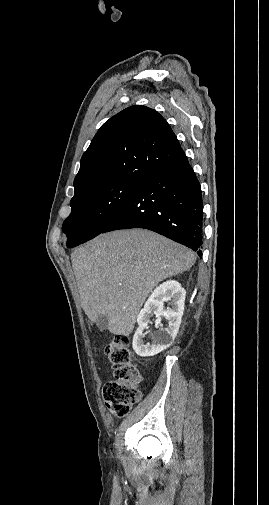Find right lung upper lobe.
<instances>
[{
	"mask_svg": "<svg viewBox=\"0 0 269 505\" xmlns=\"http://www.w3.org/2000/svg\"><path fill=\"white\" fill-rule=\"evenodd\" d=\"M166 120L134 105L111 117L84 152L75 177V195L110 182L142 184L152 173L184 155Z\"/></svg>",
	"mask_w": 269,
	"mask_h": 505,
	"instance_id": "cb5924a9",
	"label": "right lung upper lobe"
}]
</instances>
